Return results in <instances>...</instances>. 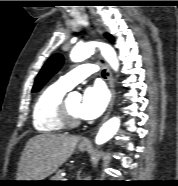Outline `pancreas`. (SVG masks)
Here are the masks:
<instances>
[{
  "label": "pancreas",
  "mask_w": 178,
  "mask_h": 186,
  "mask_svg": "<svg viewBox=\"0 0 178 186\" xmlns=\"http://www.w3.org/2000/svg\"><path fill=\"white\" fill-rule=\"evenodd\" d=\"M53 181H62L61 171H58L53 177Z\"/></svg>",
  "instance_id": "pancreas-1"
}]
</instances>
